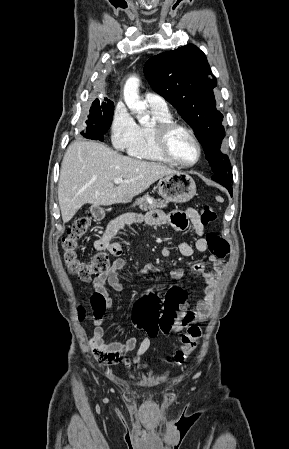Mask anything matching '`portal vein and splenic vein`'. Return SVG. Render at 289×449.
I'll use <instances>...</instances> for the list:
<instances>
[{
	"label": "portal vein and splenic vein",
	"mask_w": 289,
	"mask_h": 449,
	"mask_svg": "<svg viewBox=\"0 0 289 449\" xmlns=\"http://www.w3.org/2000/svg\"><path fill=\"white\" fill-rule=\"evenodd\" d=\"M124 182H129V181H126V180H123L122 178H116V179H114V183L115 184H121V183H124Z\"/></svg>",
	"instance_id": "1"
}]
</instances>
